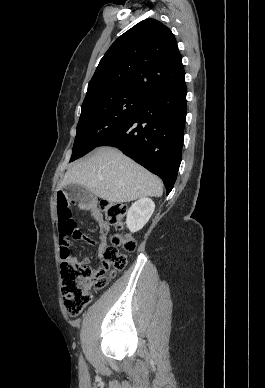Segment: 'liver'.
Wrapping results in <instances>:
<instances>
[{
	"label": "liver",
	"instance_id": "1",
	"mask_svg": "<svg viewBox=\"0 0 265 388\" xmlns=\"http://www.w3.org/2000/svg\"><path fill=\"white\" fill-rule=\"evenodd\" d=\"M100 178H103L102 182ZM68 184H80L109 202H131L145 196L160 198L163 194V184L157 176L109 146L98 148L96 154L85 162H75L59 188Z\"/></svg>",
	"mask_w": 265,
	"mask_h": 388
}]
</instances>
